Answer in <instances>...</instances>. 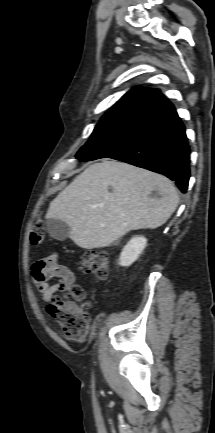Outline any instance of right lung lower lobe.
Instances as JSON below:
<instances>
[{"label":"right lung lower lobe","instance_id":"98d812e1","mask_svg":"<svg viewBox=\"0 0 215 433\" xmlns=\"http://www.w3.org/2000/svg\"><path fill=\"white\" fill-rule=\"evenodd\" d=\"M108 158L162 174L185 193L190 178V148L184 125L169 104L151 116L139 133Z\"/></svg>","mask_w":215,"mask_h":433}]
</instances>
